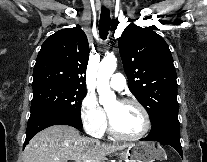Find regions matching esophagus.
<instances>
[{
  "label": "esophagus",
  "mask_w": 207,
  "mask_h": 162,
  "mask_svg": "<svg viewBox=\"0 0 207 162\" xmlns=\"http://www.w3.org/2000/svg\"><path fill=\"white\" fill-rule=\"evenodd\" d=\"M104 6L107 10H111V0H104Z\"/></svg>",
  "instance_id": "esophagus-1"
}]
</instances>
